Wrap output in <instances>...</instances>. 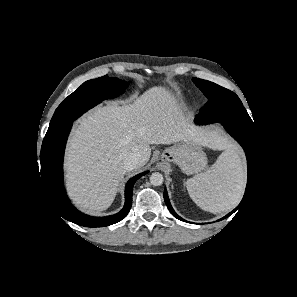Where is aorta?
<instances>
[{"label":"aorta","mask_w":297,"mask_h":297,"mask_svg":"<svg viewBox=\"0 0 297 297\" xmlns=\"http://www.w3.org/2000/svg\"><path fill=\"white\" fill-rule=\"evenodd\" d=\"M163 175L159 172H154L150 175V183L154 186H160L163 184Z\"/></svg>","instance_id":"1"}]
</instances>
